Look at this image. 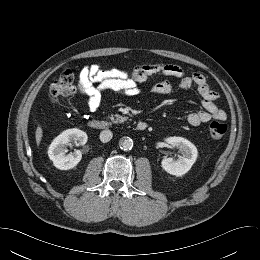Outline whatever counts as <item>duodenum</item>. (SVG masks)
<instances>
[{"mask_svg": "<svg viewBox=\"0 0 260 260\" xmlns=\"http://www.w3.org/2000/svg\"><path fill=\"white\" fill-rule=\"evenodd\" d=\"M89 125L95 130H105L110 127V123L102 119H92L89 121ZM146 128L147 124L143 121H140L136 124V129L139 131H144Z\"/></svg>", "mask_w": 260, "mask_h": 260, "instance_id": "obj_1", "label": "duodenum"}]
</instances>
